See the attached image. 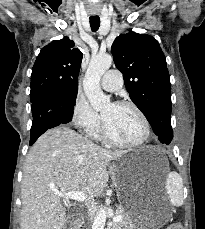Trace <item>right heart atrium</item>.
<instances>
[{
  "label": "right heart atrium",
  "instance_id": "right-heart-atrium-1",
  "mask_svg": "<svg viewBox=\"0 0 205 229\" xmlns=\"http://www.w3.org/2000/svg\"><path fill=\"white\" fill-rule=\"evenodd\" d=\"M71 119L79 129L91 133L101 123V116L97 113L89 101L80 93L75 97L72 105Z\"/></svg>",
  "mask_w": 205,
  "mask_h": 229
}]
</instances>
